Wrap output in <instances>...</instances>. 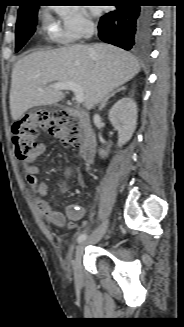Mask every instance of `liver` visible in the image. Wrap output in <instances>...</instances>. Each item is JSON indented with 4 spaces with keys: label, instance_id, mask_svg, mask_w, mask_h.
I'll list each match as a JSON object with an SVG mask.
<instances>
[{
    "label": "liver",
    "instance_id": "1",
    "mask_svg": "<svg viewBox=\"0 0 184 327\" xmlns=\"http://www.w3.org/2000/svg\"><path fill=\"white\" fill-rule=\"evenodd\" d=\"M139 72L140 65L132 54L105 43L77 44L30 53L17 61L12 70V119H20L33 107L63 100L65 94L53 89L54 83L78 84L84 94V106L91 110Z\"/></svg>",
    "mask_w": 184,
    "mask_h": 327
}]
</instances>
